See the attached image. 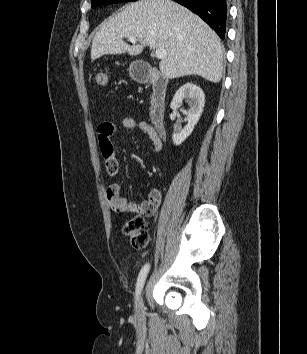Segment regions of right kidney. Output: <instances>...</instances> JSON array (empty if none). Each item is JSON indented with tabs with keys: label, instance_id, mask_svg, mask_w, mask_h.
Returning <instances> with one entry per match:
<instances>
[{
	"label": "right kidney",
	"instance_id": "obj_1",
	"mask_svg": "<svg viewBox=\"0 0 307 354\" xmlns=\"http://www.w3.org/2000/svg\"><path fill=\"white\" fill-rule=\"evenodd\" d=\"M186 101L189 109H181L182 113L187 116L188 124L179 133H174L172 136L173 143L180 145L192 133L194 126L199 121L205 105V95L203 90L193 83H186L181 86L175 93L170 107L177 110Z\"/></svg>",
	"mask_w": 307,
	"mask_h": 354
}]
</instances>
